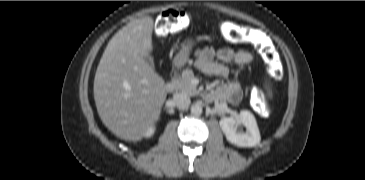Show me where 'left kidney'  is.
Returning <instances> with one entry per match:
<instances>
[{
	"label": "left kidney",
	"mask_w": 365,
	"mask_h": 180,
	"mask_svg": "<svg viewBox=\"0 0 365 180\" xmlns=\"http://www.w3.org/2000/svg\"><path fill=\"white\" fill-rule=\"evenodd\" d=\"M226 139L239 147H253L260 143V132L254 115L242 110L238 117H224L219 122ZM246 127V132L240 126Z\"/></svg>",
	"instance_id": "1"
}]
</instances>
